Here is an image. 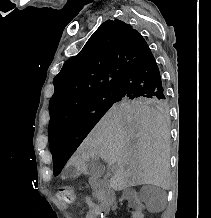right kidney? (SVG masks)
I'll return each mask as SVG.
<instances>
[{"label": "right kidney", "mask_w": 211, "mask_h": 218, "mask_svg": "<svg viewBox=\"0 0 211 218\" xmlns=\"http://www.w3.org/2000/svg\"><path fill=\"white\" fill-rule=\"evenodd\" d=\"M121 202H132V206H136V209H131V217L133 218H145L143 211H146V207L143 206L141 198H139V193L131 188H124L123 196L121 197Z\"/></svg>", "instance_id": "ca27d5eb"}]
</instances>
